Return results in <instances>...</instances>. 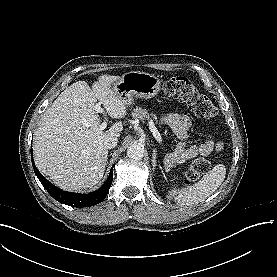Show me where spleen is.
I'll list each match as a JSON object with an SVG mask.
<instances>
[{"instance_id":"obj_1","label":"spleen","mask_w":277,"mask_h":277,"mask_svg":"<svg viewBox=\"0 0 277 277\" xmlns=\"http://www.w3.org/2000/svg\"><path fill=\"white\" fill-rule=\"evenodd\" d=\"M226 175V167L223 164L215 165L206 175L192 186L176 189L172 187L168 191V198L174 197L180 205H193L204 201L213 194L222 184Z\"/></svg>"}]
</instances>
